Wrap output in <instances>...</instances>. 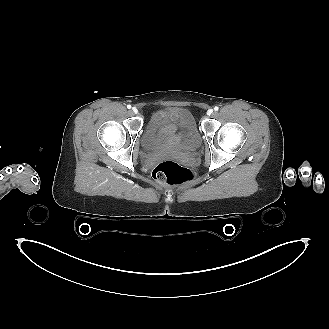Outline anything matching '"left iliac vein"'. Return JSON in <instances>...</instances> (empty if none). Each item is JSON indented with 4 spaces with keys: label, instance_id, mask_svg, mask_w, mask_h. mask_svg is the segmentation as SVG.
<instances>
[{
    "label": "left iliac vein",
    "instance_id": "1",
    "mask_svg": "<svg viewBox=\"0 0 329 329\" xmlns=\"http://www.w3.org/2000/svg\"><path fill=\"white\" fill-rule=\"evenodd\" d=\"M212 113H213V109L212 108H210V109L207 110V115H211Z\"/></svg>",
    "mask_w": 329,
    "mask_h": 329
}]
</instances>
